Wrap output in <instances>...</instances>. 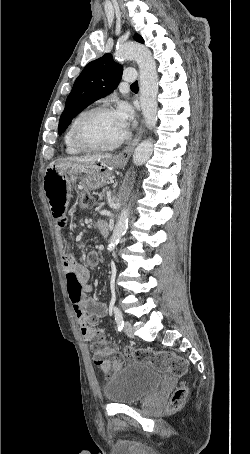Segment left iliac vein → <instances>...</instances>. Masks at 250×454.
Segmentation results:
<instances>
[{"mask_svg": "<svg viewBox=\"0 0 250 454\" xmlns=\"http://www.w3.org/2000/svg\"><path fill=\"white\" fill-rule=\"evenodd\" d=\"M124 332L129 337H132L134 335L133 327H132L131 322L125 321V323H124Z\"/></svg>", "mask_w": 250, "mask_h": 454, "instance_id": "obj_1", "label": "left iliac vein"}]
</instances>
